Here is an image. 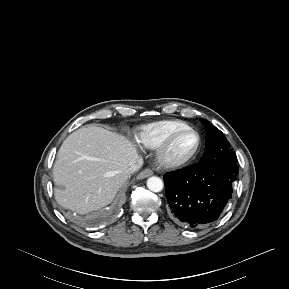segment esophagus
<instances>
[{"label":"esophagus","mask_w":289,"mask_h":289,"mask_svg":"<svg viewBox=\"0 0 289 289\" xmlns=\"http://www.w3.org/2000/svg\"><path fill=\"white\" fill-rule=\"evenodd\" d=\"M152 174H153V171L151 169H145L139 173L138 178L144 179V178L151 176Z\"/></svg>","instance_id":"obj_1"}]
</instances>
